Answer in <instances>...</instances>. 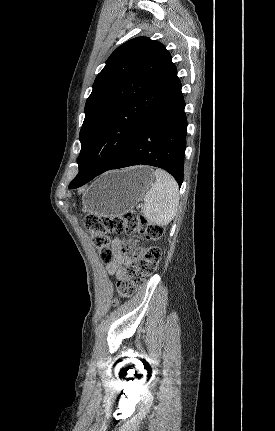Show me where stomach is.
<instances>
[{
    "label": "stomach",
    "instance_id": "1",
    "mask_svg": "<svg viewBox=\"0 0 275 431\" xmlns=\"http://www.w3.org/2000/svg\"><path fill=\"white\" fill-rule=\"evenodd\" d=\"M154 179L153 169L147 166L107 172L83 195V208L98 216L123 215L142 200Z\"/></svg>",
    "mask_w": 275,
    "mask_h": 431
}]
</instances>
